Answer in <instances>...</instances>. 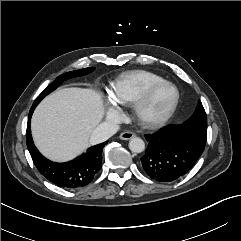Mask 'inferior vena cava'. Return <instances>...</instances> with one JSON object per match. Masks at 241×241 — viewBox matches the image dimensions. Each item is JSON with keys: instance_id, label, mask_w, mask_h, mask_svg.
I'll use <instances>...</instances> for the list:
<instances>
[{"instance_id": "inferior-vena-cava-1", "label": "inferior vena cava", "mask_w": 241, "mask_h": 241, "mask_svg": "<svg viewBox=\"0 0 241 241\" xmlns=\"http://www.w3.org/2000/svg\"><path fill=\"white\" fill-rule=\"evenodd\" d=\"M119 130V126L110 122L100 123L90 135V143L96 145L108 140Z\"/></svg>"}]
</instances>
